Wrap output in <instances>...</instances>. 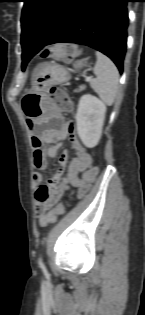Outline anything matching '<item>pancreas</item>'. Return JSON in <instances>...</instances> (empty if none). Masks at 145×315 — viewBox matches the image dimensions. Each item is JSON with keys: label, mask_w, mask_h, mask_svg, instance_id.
<instances>
[{"label": "pancreas", "mask_w": 145, "mask_h": 315, "mask_svg": "<svg viewBox=\"0 0 145 315\" xmlns=\"http://www.w3.org/2000/svg\"><path fill=\"white\" fill-rule=\"evenodd\" d=\"M85 87L84 86H80L79 89H76L75 92H79L81 90H83Z\"/></svg>", "instance_id": "obj_1"}]
</instances>
